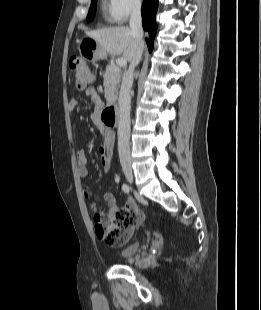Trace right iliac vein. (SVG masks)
Masks as SVG:
<instances>
[{
    "label": "right iliac vein",
    "instance_id": "63e3f726",
    "mask_svg": "<svg viewBox=\"0 0 261 310\" xmlns=\"http://www.w3.org/2000/svg\"><path fill=\"white\" fill-rule=\"evenodd\" d=\"M124 174L126 176V179L130 182L133 183L134 180V176H133V172L130 168H125L124 169Z\"/></svg>",
    "mask_w": 261,
    "mask_h": 310
}]
</instances>
